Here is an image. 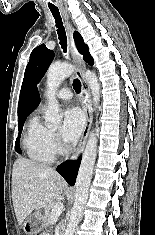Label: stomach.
I'll return each instance as SVG.
<instances>
[{
  "mask_svg": "<svg viewBox=\"0 0 155 235\" xmlns=\"http://www.w3.org/2000/svg\"><path fill=\"white\" fill-rule=\"evenodd\" d=\"M45 225V217L41 211L38 210L27 218L23 229L26 235H37L44 229Z\"/></svg>",
  "mask_w": 155,
  "mask_h": 235,
  "instance_id": "0dacf381",
  "label": "stomach"
}]
</instances>
